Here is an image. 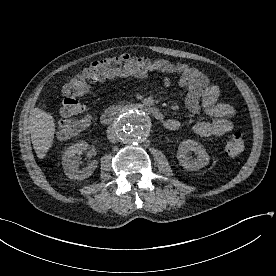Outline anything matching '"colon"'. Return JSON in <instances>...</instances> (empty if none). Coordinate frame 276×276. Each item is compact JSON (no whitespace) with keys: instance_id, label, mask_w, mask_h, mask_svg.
<instances>
[{"instance_id":"5ec220e1","label":"colon","mask_w":276,"mask_h":276,"mask_svg":"<svg viewBox=\"0 0 276 276\" xmlns=\"http://www.w3.org/2000/svg\"><path fill=\"white\" fill-rule=\"evenodd\" d=\"M151 72H153L151 60L129 54L94 62L80 75L70 79L62 89L63 119L57 127V137L67 139L89 126L90 117L86 114V107L78 99L88 93L94 83L121 75L144 77ZM244 148L243 135L239 132L232 134L226 144V152L236 156L242 153Z\"/></svg>"}]
</instances>
